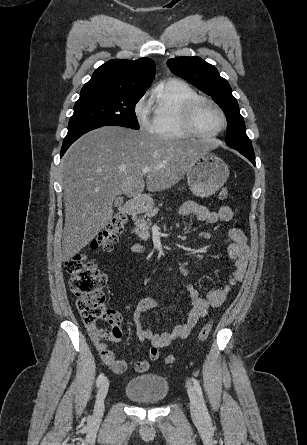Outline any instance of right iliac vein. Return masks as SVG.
Listing matches in <instances>:
<instances>
[{"instance_id":"63e3f726","label":"right iliac vein","mask_w":307,"mask_h":445,"mask_svg":"<svg viewBox=\"0 0 307 445\" xmlns=\"http://www.w3.org/2000/svg\"><path fill=\"white\" fill-rule=\"evenodd\" d=\"M109 389V380L105 379L98 390L96 403H95V409H94V417L96 420L101 419L104 413V401L107 395Z\"/></svg>"}]
</instances>
